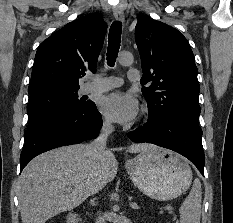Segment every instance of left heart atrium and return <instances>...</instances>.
I'll use <instances>...</instances> for the list:
<instances>
[{"label":"left heart atrium","mask_w":233,"mask_h":223,"mask_svg":"<svg viewBox=\"0 0 233 223\" xmlns=\"http://www.w3.org/2000/svg\"><path fill=\"white\" fill-rule=\"evenodd\" d=\"M100 109L110 120L120 124L134 122L140 113L137 99L130 94H114L101 100Z\"/></svg>","instance_id":"left-heart-atrium-1"}]
</instances>
